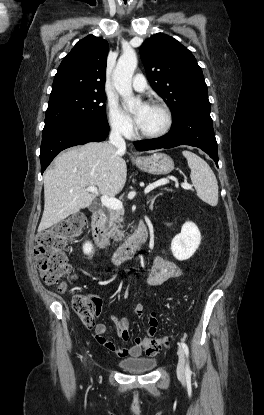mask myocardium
Instances as JSON below:
<instances>
[{"instance_id": "f54148a6", "label": "myocardium", "mask_w": 264, "mask_h": 415, "mask_svg": "<svg viewBox=\"0 0 264 415\" xmlns=\"http://www.w3.org/2000/svg\"><path fill=\"white\" fill-rule=\"evenodd\" d=\"M150 106H154L159 108L160 110H162L164 117H165V122L163 127L153 133H145V132H141L139 130V128H136V135L140 138H146V139H156V138H160L162 136H164L166 133H168V131L170 130L172 124H173V115L172 112L170 110V108L162 101H152L150 103Z\"/></svg>"}]
</instances>
